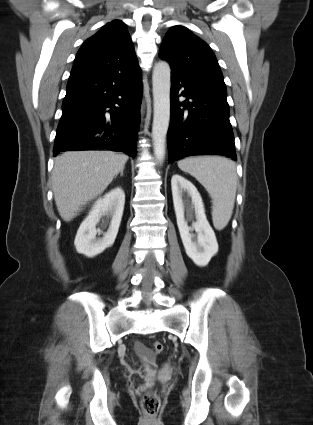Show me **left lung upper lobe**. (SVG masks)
Listing matches in <instances>:
<instances>
[{"instance_id":"1","label":"left lung upper lobe","mask_w":313,"mask_h":425,"mask_svg":"<svg viewBox=\"0 0 313 425\" xmlns=\"http://www.w3.org/2000/svg\"><path fill=\"white\" fill-rule=\"evenodd\" d=\"M159 56L170 63L171 73L195 84L226 89L212 50L184 26H173L168 31Z\"/></svg>"}]
</instances>
